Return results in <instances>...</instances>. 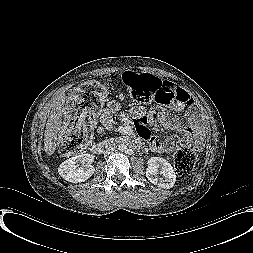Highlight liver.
Here are the masks:
<instances>
[{"label":"liver","mask_w":253,"mask_h":253,"mask_svg":"<svg viewBox=\"0 0 253 253\" xmlns=\"http://www.w3.org/2000/svg\"><path fill=\"white\" fill-rule=\"evenodd\" d=\"M65 100L66 96L62 93L55 98L51 105V112L44 133V150L49 156L54 154L59 136L62 133V117L64 114Z\"/></svg>","instance_id":"1"}]
</instances>
